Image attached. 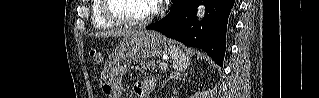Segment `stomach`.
<instances>
[{
    "instance_id": "stomach-1",
    "label": "stomach",
    "mask_w": 319,
    "mask_h": 98,
    "mask_svg": "<svg viewBox=\"0 0 319 98\" xmlns=\"http://www.w3.org/2000/svg\"><path fill=\"white\" fill-rule=\"evenodd\" d=\"M168 50L166 39L154 31H137L125 36L111 55L102 78V92L116 98L122 90V78L139 59L156 58Z\"/></svg>"
}]
</instances>
